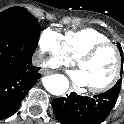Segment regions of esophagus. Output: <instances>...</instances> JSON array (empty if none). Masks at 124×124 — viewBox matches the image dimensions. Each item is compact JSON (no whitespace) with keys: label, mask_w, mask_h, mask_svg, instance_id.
<instances>
[{"label":"esophagus","mask_w":124,"mask_h":124,"mask_svg":"<svg viewBox=\"0 0 124 124\" xmlns=\"http://www.w3.org/2000/svg\"><path fill=\"white\" fill-rule=\"evenodd\" d=\"M71 92H74V89H70L67 94L69 95Z\"/></svg>","instance_id":"obj_1"}]
</instances>
